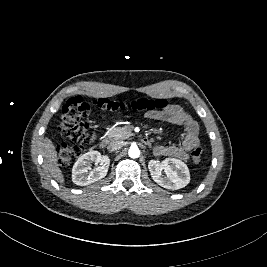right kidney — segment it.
I'll use <instances>...</instances> for the list:
<instances>
[{
    "instance_id": "obj_1",
    "label": "right kidney",
    "mask_w": 267,
    "mask_h": 267,
    "mask_svg": "<svg viewBox=\"0 0 267 267\" xmlns=\"http://www.w3.org/2000/svg\"><path fill=\"white\" fill-rule=\"evenodd\" d=\"M93 162L101 166L89 172ZM109 164L110 159L107 155H101L98 151L87 152L75 162L72 169V181L79 186L92 184L106 176Z\"/></svg>"
}]
</instances>
